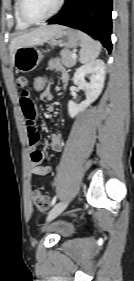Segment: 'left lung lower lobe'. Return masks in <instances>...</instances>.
Here are the masks:
<instances>
[{
    "mask_svg": "<svg viewBox=\"0 0 134 281\" xmlns=\"http://www.w3.org/2000/svg\"><path fill=\"white\" fill-rule=\"evenodd\" d=\"M111 12L112 0H67L63 10L47 22L70 26L93 35L111 52Z\"/></svg>",
    "mask_w": 134,
    "mask_h": 281,
    "instance_id": "0a47b994",
    "label": "left lung lower lobe"
}]
</instances>
